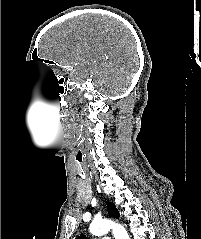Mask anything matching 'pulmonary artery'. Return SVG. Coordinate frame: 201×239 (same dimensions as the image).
<instances>
[{"mask_svg": "<svg viewBox=\"0 0 201 239\" xmlns=\"http://www.w3.org/2000/svg\"><path fill=\"white\" fill-rule=\"evenodd\" d=\"M98 239H109L108 237L98 238Z\"/></svg>", "mask_w": 201, "mask_h": 239, "instance_id": "1", "label": "pulmonary artery"}]
</instances>
